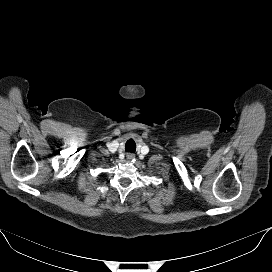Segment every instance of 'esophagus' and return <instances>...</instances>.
I'll use <instances>...</instances> for the list:
<instances>
[{
  "label": "esophagus",
  "mask_w": 272,
  "mask_h": 272,
  "mask_svg": "<svg viewBox=\"0 0 272 272\" xmlns=\"http://www.w3.org/2000/svg\"><path fill=\"white\" fill-rule=\"evenodd\" d=\"M134 157H135V155L133 153H127V155H126L127 160H132V159H134Z\"/></svg>",
  "instance_id": "34e87169"
}]
</instances>
